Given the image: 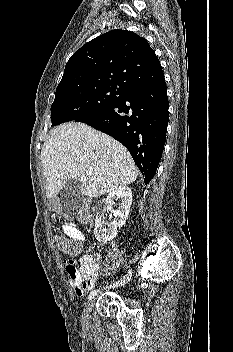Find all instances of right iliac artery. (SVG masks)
Segmentation results:
<instances>
[{"label":"right iliac artery","mask_w":233,"mask_h":352,"mask_svg":"<svg viewBox=\"0 0 233 352\" xmlns=\"http://www.w3.org/2000/svg\"><path fill=\"white\" fill-rule=\"evenodd\" d=\"M132 276V271L129 270L128 273L126 274V276H124L121 280L117 281L116 283H113L109 286V288L112 287H117L119 285H124L126 282H128L131 279ZM99 290H93L90 294L88 299L91 300L98 292Z\"/></svg>","instance_id":"82829eb1"}]
</instances>
